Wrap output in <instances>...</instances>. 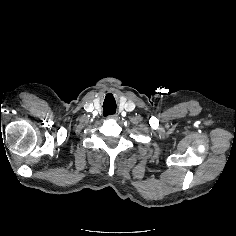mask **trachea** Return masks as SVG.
<instances>
[{
  "label": "trachea",
  "instance_id": "3493384b",
  "mask_svg": "<svg viewBox=\"0 0 236 236\" xmlns=\"http://www.w3.org/2000/svg\"><path fill=\"white\" fill-rule=\"evenodd\" d=\"M103 109H104V112H103L104 116L113 115L115 114V111H116V103L115 102L108 103L104 101Z\"/></svg>",
  "mask_w": 236,
  "mask_h": 236
}]
</instances>
